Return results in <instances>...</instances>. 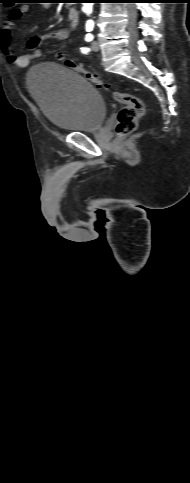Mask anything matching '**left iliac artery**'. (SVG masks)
Here are the masks:
<instances>
[{
	"label": "left iliac artery",
	"instance_id": "1",
	"mask_svg": "<svg viewBox=\"0 0 190 483\" xmlns=\"http://www.w3.org/2000/svg\"><path fill=\"white\" fill-rule=\"evenodd\" d=\"M85 40L90 42L93 40V35L92 34H87L86 37H85ZM90 49L89 48H86V47H81V52L84 53V54H87L89 53Z\"/></svg>",
	"mask_w": 190,
	"mask_h": 483
}]
</instances>
